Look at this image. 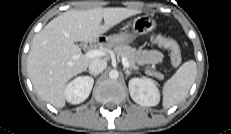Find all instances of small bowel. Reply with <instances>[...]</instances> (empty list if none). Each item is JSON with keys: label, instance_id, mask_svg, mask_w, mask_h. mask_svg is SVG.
Wrapping results in <instances>:
<instances>
[{"label": "small bowel", "instance_id": "1", "mask_svg": "<svg viewBox=\"0 0 231 134\" xmlns=\"http://www.w3.org/2000/svg\"><path fill=\"white\" fill-rule=\"evenodd\" d=\"M162 58V53L156 49H144L138 53V61L143 65H157Z\"/></svg>", "mask_w": 231, "mask_h": 134}]
</instances>
